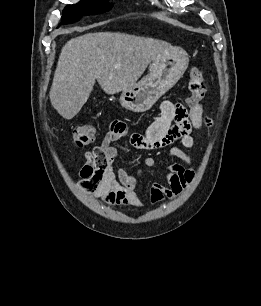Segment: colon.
Segmentation results:
<instances>
[{
    "instance_id": "colon-1",
    "label": "colon",
    "mask_w": 261,
    "mask_h": 306,
    "mask_svg": "<svg viewBox=\"0 0 261 306\" xmlns=\"http://www.w3.org/2000/svg\"><path fill=\"white\" fill-rule=\"evenodd\" d=\"M188 89L190 95L187 99V103L190 107L199 104L206 92L205 74L202 68L193 66L189 71L188 77ZM93 128L87 124H81L76 127L73 134V142L77 147H85L93 141ZM88 158L91 159L94 166L98 169H103L106 165V154L102 147H94L91 152L88 153ZM82 185L91 189L92 183L83 179Z\"/></svg>"
}]
</instances>
